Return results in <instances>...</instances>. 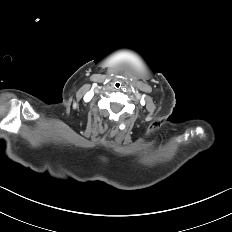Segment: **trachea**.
Masks as SVG:
<instances>
[{
	"instance_id": "obj_1",
	"label": "trachea",
	"mask_w": 232,
	"mask_h": 232,
	"mask_svg": "<svg viewBox=\"0 0 232 232\" xmlns=\"http://www.w3.org/2000/svg\"><path fill=\"white\" fill-rule=\"evenodd\" d=\"M123 86H124V85H123V83H122L121 81H115V82L113 83V87H114L116 90L122 89Z\"/></svg>"
}]
</instances>
